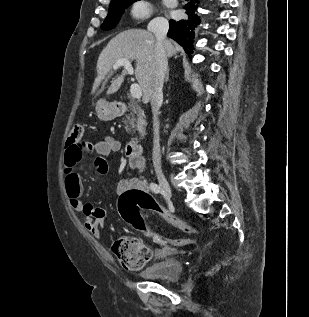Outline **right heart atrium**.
Returning a JSON list of instances; mask_svg holds the SVG:
<instances>
[{
    "label": "right heart atrium",
    "mask_w": 309,
    "mask_h": 317,
    "mask_svg": "<svg viewBox=\"0 0 309 317\" xmlns=\"http://www.w3.org/2000/svg\"><path fill=\"white\" fill-rule=\"evenodd\" d=\"M152 7L147 0H135L130 6V16L134 19L147 18L151 15Z\"/></svg>",
    "instance_id": "1"
}]
</instances>
